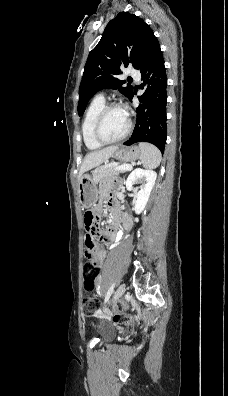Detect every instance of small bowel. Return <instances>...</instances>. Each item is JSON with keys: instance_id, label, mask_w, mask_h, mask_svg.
Listing matches in <instances>:
<instances>
[{"instance_id": "small-bowel-1", "label": "small bowel", "mask_w": 228, "mask_h": 396, "mask_svg": "<svg viewBox=\"0 0 228 396\" xmlns=\"http://www.w3.org/2000/svg\"><path fill=\"white\" fill-rule=\"evenodd\" d=\"M104 191H108V187H105ZM108 208H109V211L111 213V217L113 219L115 214H116V209H115L114 201H113V199L111 197L108 198ZM92 211L95 214L99 215L101 213V206L100 205L95 206L92 209ZM127 222H128V219H127ZM127 227H128V225H127ZM98 237L101 240H104L106 242H112L114 240V232L111 229H108L106 231L98 230ZM105 257H106V253H105L104 250L95 249V251L93 253V260L95 261V263L97 265L101 266L103 261H104V259H105ZM101 284H102V277L99 275L97 280H96V289H97V291H100Z\"/></svg>"}]
</instances>
